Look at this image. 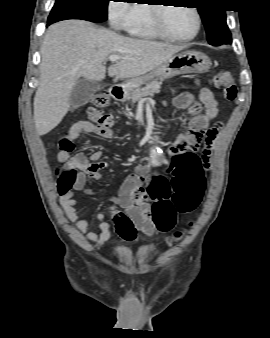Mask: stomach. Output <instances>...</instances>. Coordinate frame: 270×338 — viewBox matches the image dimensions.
<instances>
[{"label": "stomach", "mask_w": 270, "mask_h": 338, "mask_svg": "<svg viewBox=\"0 0 270 338\" xmlns=\"http://www.w3.org/2000/svg\"><path fill=\"white\" fill-rule=\"evenodd\" d=\"M211 67L209 57L196 51H182L175 54L162 65L153 69L147 75L139 76L128 81L124 87L127 90L138 88L153 79H167L188 73H204Z\"/></svg>", "instance_id": "stomach-1"}]
</instances>
